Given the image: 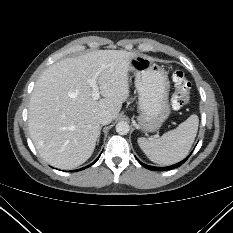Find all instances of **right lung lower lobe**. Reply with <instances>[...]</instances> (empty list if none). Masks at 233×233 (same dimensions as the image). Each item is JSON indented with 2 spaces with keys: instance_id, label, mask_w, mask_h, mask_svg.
Returning a JSON list of instances; mask_svg holds the SVG:
<instances>
[{
  "instance_id": "obj_1",
  "label": "right lung lower lobe",
  "mask_w": 233,
  "mask_h": 233,
  "mask_svg": "<svg viewBox=\"0 0 233 233\" xmlns=\"http://www.w3.org/2000/svg\"><path fill=\"white\" fill-rule=\"evenodd\" d=\"M98 159H99V157H98L93 163H91L90 165H88V166H86V167H84V168H82V169H85V168L90 167V166L93 165ZM82 169H79V170H82Z\"/></svg>"
}]
</instances>
